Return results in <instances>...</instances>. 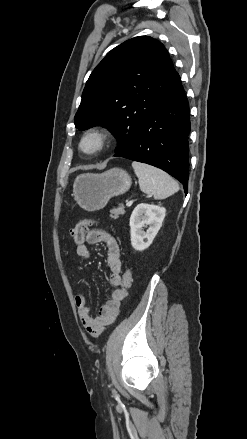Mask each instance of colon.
Segmentation results:
<instances>
[{
  "mask_svg": "<svg viewBox=\"0 0 247 439\" xmlns=\"http://www.w3.org/2000/svg\"><path fill=\"white\" fill-rule=\"evenodd\" d=\"M95 224V221L86 219L78 222L75 227L71 230V235L77 244V246H80L85 241V235L90 230V227ZM133 282V272L131 269H128L122 278V288L123 289H129L131 284Z\"/></svg>",
  "mask_w": 247,
  "mask_h": 439,
  "instance_id": "5ec220e1",
  "label": "colon"
}]
</instances>
